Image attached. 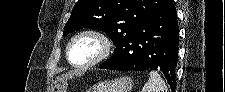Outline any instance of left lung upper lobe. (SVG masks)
Here are the masks:
<instances>
[{"label":"left lung upper lobe","instance_id":"obj_1","mask_svg":"<svg viewBox=\"0 0 225 92\" xmlns=\"http://www.w3.org/2000/svg\"><path fill=\"white\" fill-rule=\"evenodd\" d=\"M166 1L78 0L64 27L63 35L82 28L105 31L116 46V53Z\"/></svg>","mask_w":225,"mask_h":92}]
</instances>
